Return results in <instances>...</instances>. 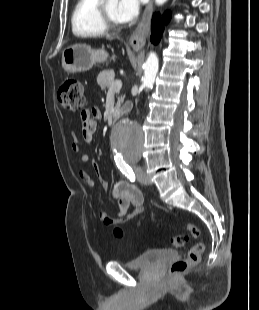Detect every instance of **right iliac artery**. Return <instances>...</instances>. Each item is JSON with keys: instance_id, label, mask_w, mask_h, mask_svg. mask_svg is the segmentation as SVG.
<instances>
[{"instance_id": "obj_1", "label": "right iliac artery", "mask_w": 259, "mask_h": 310, "mask_svg": "<svg viewBox=\"0 0 259 310\" xmlns=\"http://www.w3.org/2000/svg\"><path fill=\"white\" fill-rule=\"evenodd\" d=\"M116 165L120 171L130 179L131 182L135 181V174L129 165H127L123 160H116Z\"/></svg>"}]
</instances>
